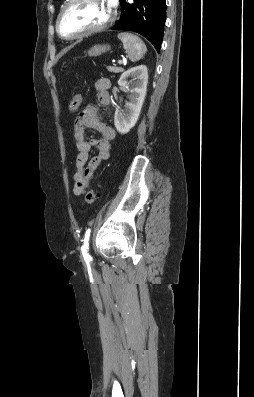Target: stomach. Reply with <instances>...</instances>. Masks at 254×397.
I'll use <instances>...</instances> for the list:
<instances>
[{
    "mask_svg": "<svg viewBox=\"0 0 254 397\" xmlns=\"http://www.w3.org/2000/svg\"><path fill=\"white\" fill-rule=\"evenodd\" d=\"M110 50L109 45H94L89 51L88 55L89 56H99L102 53Z\"/></svg>",
    "mask_w": 254,
    "mask_h": 397,
    "instance_id": "1",
    "label": "stomach"
}]
</instances>
